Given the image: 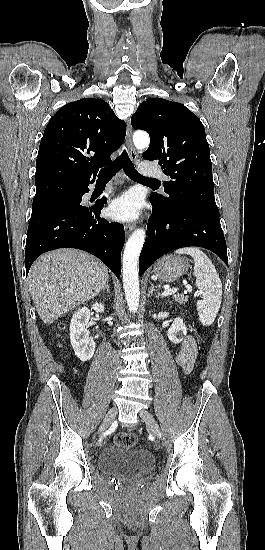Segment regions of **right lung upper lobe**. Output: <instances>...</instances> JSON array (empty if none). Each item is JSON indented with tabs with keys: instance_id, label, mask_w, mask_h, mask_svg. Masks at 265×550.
I'll use <instances>...</instances> for the list:
<instances>
[{
	"instance_id": "cb5924a9",
	"label": "right lung upper lobe",
	"mask_w": 265,
	"mask_h": 550,
	"mask_svg": "<svg viewBox=\"0 0 265 550\" xmlns=\"http://www.w3.org/2000/svg\"><path fill=\"white\" fill-rule=\"evenodd\" d=\"M125 134V122L104 100L84 98L66 104L44 131L36 160V188L64 185L77 189L94 182Z\"/></svg>"
}]
</instances>
